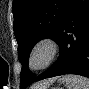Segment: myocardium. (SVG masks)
Instances as JSON below:
<instances>
[{"instance_id": "myocardium-1", "label": "myocardium", "mask_w": 89, "mask_h": 89, "mask_svg": "<svg viewBox=\"0 0 89 89\" xmlns=\"http://www.w3.org/2000/svg\"><path fill=\"white\" fill-rule=\"evenodd\" d=\"M40 48L47 49V57L44 63L40 66L33 65V56ZM59 52V45L57 41L52 37H42L37 40L31 47L28 53V66L33 71L43 70L48 68L56 59Z\"/></svg>"}]
</instances>
